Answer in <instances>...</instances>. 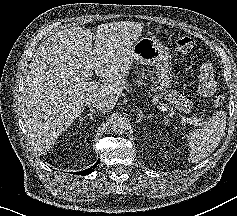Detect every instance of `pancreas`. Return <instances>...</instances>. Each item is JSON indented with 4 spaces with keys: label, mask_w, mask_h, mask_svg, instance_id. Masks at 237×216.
Segmentation results:
<instances>
[{
    "label": "pancreas",
    "mask_w": 237,
    "mask_h": 216,
    "mask_svg": "<svg viewBox=\"0 0 237 216\" xmlns=\"http://www.w3.org/2000/svg\"><path fill=\"white\" fill-rule=\"evenodd\" d=\"M138 85H142V80L136 81ZM154 90L153 88L151 89ZM163 99L167 102L172 101L175 103L177 109H181L184 112H187L191 109L192 104L189 100L184 99L181 95H178L177 92L167 89L163 92Z\"/></svg>",
    "instance_id": "obj_1"
}]
</instances>
